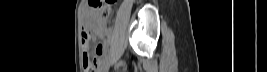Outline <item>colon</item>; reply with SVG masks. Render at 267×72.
I'll use <instances>...</instances> for the list:
<instances>
[{"instance_id": "obj_1", "label": "colon", "mask_w": 267, "mask_h": 72, "mask_svg": "<svg viewBox=\"0 0 267 72\" xmlns=\"http://www.w3.org/2000/svg\"><path fill=\"white\" fill-rule=\"evenodd\" d=\"M116 0H90L91 7L99 12L103 18H108L112 12V5ZM90 45L83 48V66L85 72H93L96 64L97 58L90 53Z\"/></svg>"}]
</instances>
